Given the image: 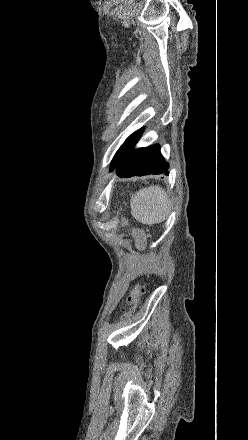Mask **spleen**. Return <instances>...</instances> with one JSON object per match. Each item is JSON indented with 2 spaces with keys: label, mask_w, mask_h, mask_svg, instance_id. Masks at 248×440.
Here are the masks:
<instances>
[{
  "label": "spleen",
  "mask_w": 248,
  "mask_h": 440,
  "mask_svg": "<svg viewBox=\"0 0 248 440\" xmlns=\"http://www.w3.org/2000/svg\"><path fill=\"white\" fill-rule=\"evenodd\" d=\"M131 213L142 224L161 223L170 213L169 197L158 185L143 188L131 197Z\"/></svg>",
  "instance_id": "obj_1"
}]
</instances>
